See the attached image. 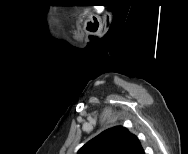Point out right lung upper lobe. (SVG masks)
Masks as SVG:
<instances>
[{
	"instance_id": "right-lung-upper-lobe-1",
	"label": "right lung upper lobe",
	"mask_w": 188,
	"mask_h": 154,
	"mask_svg": "<svg viewBox=\"0 0 188 154\" xmlns=\"http://www.w3.org/2000/svg\"><path fill=\"white\" fill-rule=\"evenodd\" d=\"M77 154H145L138 138L128 129L110 128L85 144Z\"/></svg>"
}]
</instances>
